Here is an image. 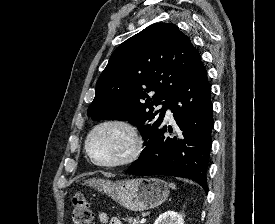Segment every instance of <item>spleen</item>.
<instances>
[{
  "label": "spleen",
  "mask_w": 275,
  "mask_h": 224,
  "mask_svg": "<svg viewBox=\"0 0 275 224\" xmlns=\"http://www.w3.org/2000/svg\"><path fill=\"white\" fill-rule=\"evenodd\" d=\"M169 186H170L172 189H175V187H176L175 184H173V183H170Z\"/></svg>",
  "instance_id": "3e777b00"
}]
</instances>
